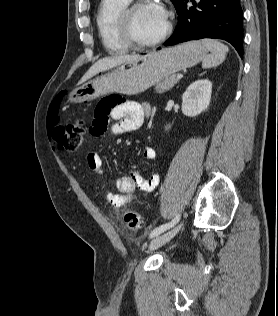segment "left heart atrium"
<instances>
[{
    "instance_id": "39dd6f15",
    "label": "left heart atrium",
    "mask_w": 278,
    "mask_h": 316,
    "mask_svg": "<svg viewBox=\"0 0 278 316\" xmlns=\"http://www.w3.org/2000/svg\"><path fill=\"white\" fill-rule=\"evenodd\" d=\"M150 6L160 18L167 20V12L162 3L155 1L150 3Z\"/></svg>"
}]
</instances>
